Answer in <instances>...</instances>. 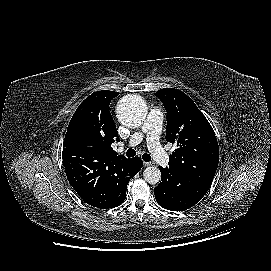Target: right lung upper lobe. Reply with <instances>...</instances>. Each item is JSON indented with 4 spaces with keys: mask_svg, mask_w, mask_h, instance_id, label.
Listing matches in <instances>:
<instances>
[{
    "mask_svg": "<svg viewBox=\"0 0 271 271\" xmlns=\"http://www.w3.org/2000/svg\"><path fill=\"white\" fill-rule=\"evenodd\" d=\"M118 94L108 90L98 91L79 105L68 125L63 150H72L68 146L69 138L81 131L86 136V152L103 157L124 158L123 155L117 156L111 147L119 138L109 105Z\"/></svg>",
    "mask_w": 271,
    "mask_h": 271,
    "instance_id": "obj_1",
    "label": "right lung upper lobe"
}]
</instances>
